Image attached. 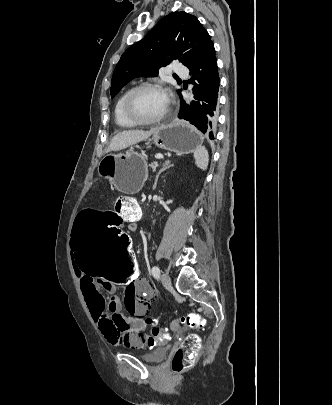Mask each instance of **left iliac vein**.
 Instances as JSON below:
<instances>
[{"label":"left iliac vein","mask_w":332,"mask_h":405,"mask_svg":"<svg viewBox=\"0 0 332 405\" xmlns=\"http://www.w3.org/2000/svg\"><path fill=\"white\" fill-rule=\"evenodd\" d=\"M161 281L166 289H169L171 287V278L167 273H162Z\"/></svg>","instance_id":"left-iliac-vein-1"}]
</instances>
